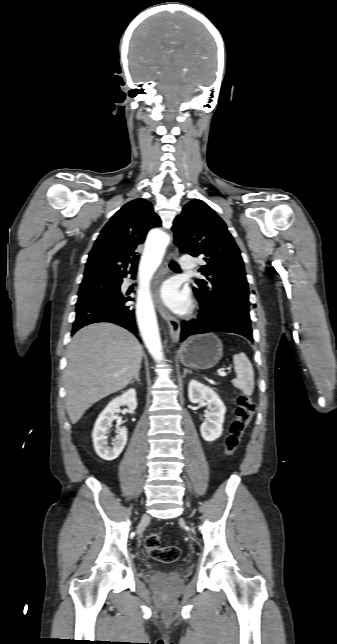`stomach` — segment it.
<instances>
[{
	"label": "stomach",
	"mask_w": 337,
	"mask_h": 644,
	"mask_svg": "<svg viewBox=\"0 0 337 644\" xmlns=\"http://www.w3.org/2000/svg\"><path fill=\"white\" fill-rule=\"evenodd\" d=\"M178 354L183 365L206 370L214 367L222 358L223 346L214 334L196 335L181 346Z\"/></svg>",
	"instance_id": "obj_1"
}]
</instances>
